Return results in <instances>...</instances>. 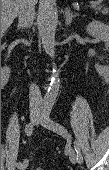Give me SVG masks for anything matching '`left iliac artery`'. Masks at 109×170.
Returning <instances> with one entry per match:
<instances>
[{"label": "left iliac artery", "mask_w": 109, "mask_h": 170, "mask_svg": "<svg viewBox=\"0 0 109 170\" xmlns=\"http://www.w3.org/2000/svg\"><path fill=\"white\" fill-rule=\"evenodd\" d=\"M52 109V105L48 104L45 109H44V112L49 115L50 114V111ZM74 147H75V151L77 153V159L79 161V163H82L83 162V156L80 152V147H79V144L77 141L74 142Z\"/></svg>", "instance_id": "left-iliac-artery-1"}]
</instances>
